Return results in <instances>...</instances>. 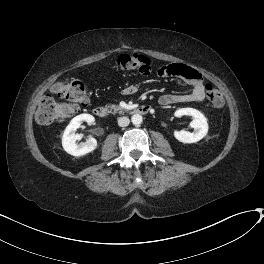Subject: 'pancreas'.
<instances>
[{"instance_id":"1","label":"pancreas","mask_w":264,"mask_h":264,"mask_svg":"<svg viewBox=\"0 0 264 264\" xmlns=\"http://www.w3.org/2000/svg\"><path fill=\"white\" fill-rule=\"evenodd\" d=\"M110 108V112L112 113H123L124 109L120 106H117V105H114V104H111L108 106Z\"/></svg>"}]
</instances>
